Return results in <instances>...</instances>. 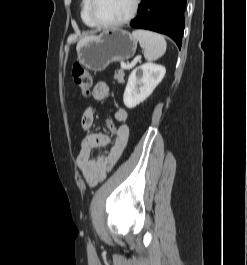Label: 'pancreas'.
Listing matches in <instances>:
<instances>
[{
    "label": "pancreas",
    "mask_w": 247,
    "mask_h": 265,
    "mask_svg": "<svg viewBox=\"0 0 247 265\" xmlns=\"http://www.w3.org/2000/svg\"><path fill=\"white\" fill-rule=\"evenodd\" d=\"M124 70L123 69H120L118 70L117 72H115V75H114V79L118 82V83H123L124 82Z\"/></svg>",
    "instance_id": "1"
}]
</instances>
